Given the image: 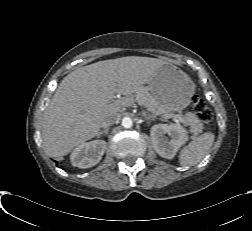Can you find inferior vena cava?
Returning a JSON list of instances; mask_svg holds the SVG:
<instances>
[{
	"instance_id": "obj_1",
	"label": "inferior vena cava",
	"mask_w": 252,
	"mask_h": 231,
	"mask_svg": "<svg viewBox=\"0 0 252 231\" xmlns=\"http://www.w3.org/2000/svg\"><path fill=\"white\" fill-rule=\"evenodd\" d=\"M118 114L109 115L102 123V127L108 128L109 126L115 124L118 121Z\"/></svg>"
}]
</instances>
